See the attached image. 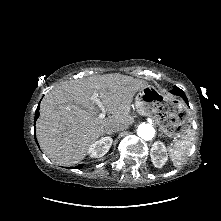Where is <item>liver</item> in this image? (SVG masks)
<instances>
[{
    "mask_svg": "<svg viewBox=\"0 0 221 221\" xmlns=\"http://www.w3.org/2000/svg\"><path fill=\"white\" fill-rule=\"evenodd\" d=\"M147 85L143 80L118 73L57 85L40 104L36 135L42 150L58 165L80 162L108 125L128 127L133 123L129 115L133 97ZM94 92L110 116L99 117L91 100Z\"/></svg>",
    "mask_w": 221,
    "mask_h": 221,
    "instance_id": "liver-1",
    "label": "liver"
}]
</instances>
